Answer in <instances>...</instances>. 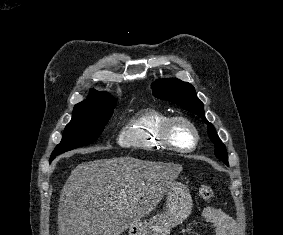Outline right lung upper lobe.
<instances>
[{"mask_svg":"<svg viewBox=\"0 0 283 235\" xmlns=\"http://www.w3.org/2000/svg\"><path fill=\"white\" fill-rule=\"evenodd\" d=\"M116 101L109 96L106 92H98L94 89L91 90L90 96L87 100L78 103L76 106H83V105H105V104H112Z\"/></svg>","mask_w":283,"mask_h":235,"instance_id":"1","label":"right lung upper lobe"}]
</instances>
